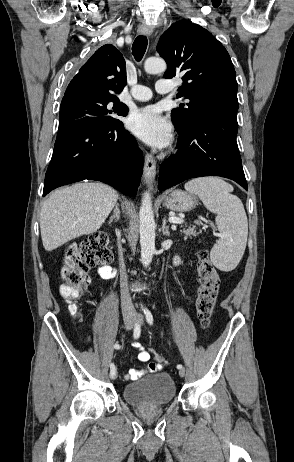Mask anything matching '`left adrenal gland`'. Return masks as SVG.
<instances>
[{
    "label": "left adrenal gland",
    "instance_id": "a2214340",
    "mask_svg": "<svg viewBox=\"0 0 294 462\" xmlns=\"http://www.w3.org/2000/svg\"><path fill=\"white\" fill-rule=\"evenodd\" d=\"M162 233H163V235H165V236H170L169 227L166 226V217L163 219V223H162Z\"/></svg>",
    "mask_w": 294,
    "mask_h": 462
}]
</instances>
